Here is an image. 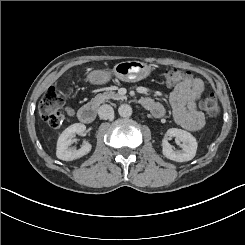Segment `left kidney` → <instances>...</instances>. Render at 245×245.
<instances>
[{"mask_svg": "<svg viewBox=\"0 0 245 245\" xmlns=\"http://www.w3.org/2000/svg\"><path fill=\"white\" fill-rule=\"evenodd\" d=\"M172 137H175L176 144L179 145L182 150L175 151L172 149V146L168 142V139ZM197 146L196 138L191 133L178 128L168 129L162 140L163 155L176 162L192 160L196 155Z\"/></svg>", "mask_w": 245, "mask_h": 245, "instance_id": "5707ae66", "label": "left kidney"}]
</instances>
